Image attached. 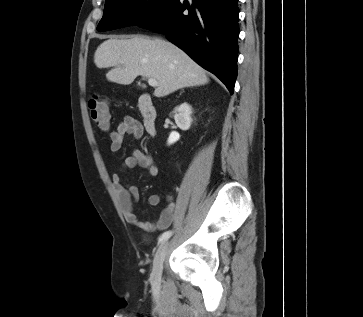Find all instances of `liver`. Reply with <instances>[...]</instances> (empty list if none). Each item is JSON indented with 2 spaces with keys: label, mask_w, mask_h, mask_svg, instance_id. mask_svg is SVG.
I'll return each instance as SVG.
<instances>
[{
  "label": "liver",
  "mask_w": 363,
  "mask_h": 317,
  "mask_svg": "<svg viewBox=\"0 0 363 317\" xmlns=\"http://www.w3.org/2000/svg\"><path fill=\"white\" fill-rule=\"evenodd\" d=\"M94 63L98 68L114 67L106 74L110 82L129 85L139 75L155 79L158 83L154 91L156 97L209 82L202 67L161 38L111 37L95 51Z\"/></svg>",
  "instance_id": "1"
}]
</instances>
